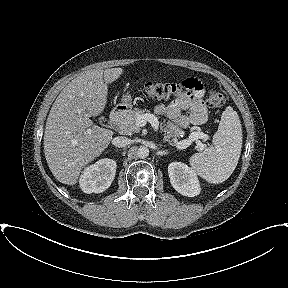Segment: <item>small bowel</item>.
<instances>
[{"mask_svg": "<svg viewBox=\"0 0 288 288\" xmlns=\"http://www.w3.org/2000/svg\"><path fill=\"white\" fill-rule=\"evenodd\" d=\"M188 85L186 91L178 94L168 105L158 104L155 107L157 114H166L180 127H187L189 124L201 125L207 119V110L203 103L204 86L201 81L195 78L184 80ZM187 110L188 115L182 111Z\"/></svg>", "mask_w": 288, "mask_h": 288, "instance_id": "c3829d8e", "label": "small bowel"}]
</instances>
